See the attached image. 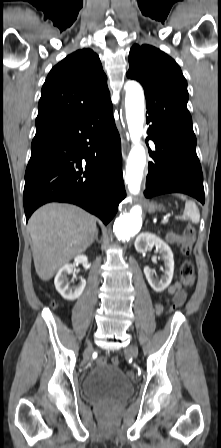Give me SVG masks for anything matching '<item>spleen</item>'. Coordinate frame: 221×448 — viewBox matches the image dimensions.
I'll use <instances>...</instances> for the list:
<instances>
[{
  "instance_id": "1",
  "label": "spleen",
  "mask_w": 221,
  "mask_h": 448,
  "mask_svg": "<svg viewBox=\"0 0 221 448\" xmlns=\"http://www.w3.org/2000/svg\"><path fill=\"white\" fill-rule=\"evenodd\" d=\"M182 200H185V208L183 211V217L189 219L192 223H198L200 221V212L194 201L188 200L183 195H178Z\"/></svg>"
}]
</instances>
